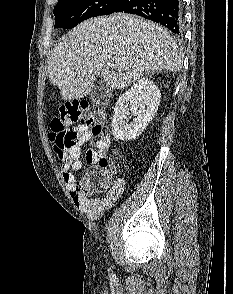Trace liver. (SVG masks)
Masks as SVG:
<instances>
[{"instance_id":"6515ba94","label":"liver","mask_w":233,"mask_h":294,"mask_svg":"<svg viewBox=\"0 0 233 294\" xmlns=\"http://www.w3.org/2000/svg\"><path fill=\"white\" fill-rule=\"evenodd\" d=\"M182 62L164 27L118 13L86 20L68 32L53 49L47 72L62 100L71 101L87 96L99 74L110 88L124 89L145 73H176Z\"/></svg>"}]
</instances>
